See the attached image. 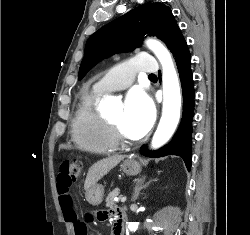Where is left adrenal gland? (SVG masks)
<instances>
[{
    "label": "left adrenal gland",
    "instance_id": "obj_1",
    "mask_svg": "<svg viewBox=\"0 0 250 235\" xmlns=\"http://www.w3.org/2000/svg\"><path fill=\"white\" fill-rule=\"evenodd\" d=\"M144 179L145 178L139 180L136 183V186L134 188V194H133V197L131 199L132 202H135L137 200V198L139 197V194H140L141 190L146 189L148 187V185L150 184L151 181L144 184Z\"/></svg>",
    "mask_w": 250,
    "mask_h": 235
}]
</instances>
